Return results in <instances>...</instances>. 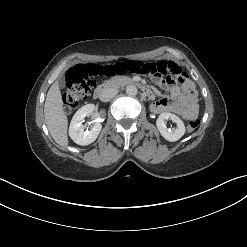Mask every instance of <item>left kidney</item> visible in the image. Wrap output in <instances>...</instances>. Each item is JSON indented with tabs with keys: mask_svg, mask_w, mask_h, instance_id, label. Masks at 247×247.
<instances>
[{
	"mask_svg": "<svg viewBox=\"0 0 247 247\" xmlns=\"http://www.w3.org/2000/svg\"><path fill=\"white\" fill-rule=\"evenodd\" d=\"M168 119H171L173 122L176 123V129H167L165 125V120ZM156 126L161 135L170 142H175L179 140L185 133V125L183 121L177 115L169 112H163L159 115L156 121Z\"/></svg>",
	"mask_w": 247,
	"mask_h": 247,
	"instance_id": "left-kidney-1",
	"label": "left kidney"
}]
</instances>
